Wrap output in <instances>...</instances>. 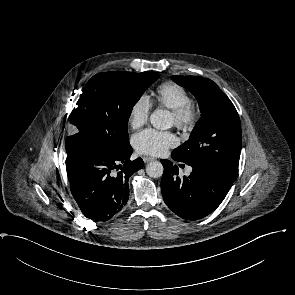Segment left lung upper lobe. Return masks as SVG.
<instances>
[{"mask_svg": "<svg viewBox=\"0 0 295 295\" xmlns=\"http://www.w3.org/2000/svg\"><path fill=\"white\" fill-rule=\"evenodd\" d=\"M171 79L193 93L201 110L189 140L172 153L188 165L208 166L233 183L242 144L240 119L233 103L210 79L178 75Z\"/></svg>", "mask_w": 295, "mask_h": 295, "instance_id": "obj_1", "label": "left lung upper lobe"}]
</instances>
